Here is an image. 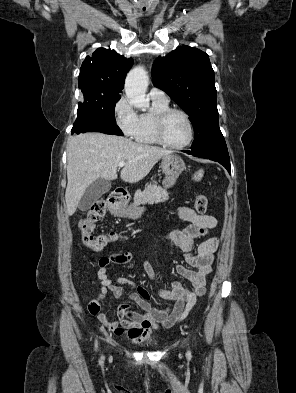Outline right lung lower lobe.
<instances>
[{"label":"right lung lower lobe","mask_w":296,"mask_h":393,"mask_svg":"<svg viewBox=\"0 0 296 393\" xmlns=\"http://www.w3.org/2000/svg\"><path fill=\"white\" fill-rule=\"evenodd\" d=\"M89 131L123 136L122 131L116 124H109L92 117H86L84 119L77 118L72 128V134L85 133Z\"/></svg>","instance_id":"98d812e1"}]
</instances>
